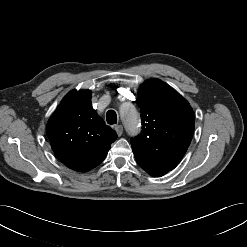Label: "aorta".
<instances>
[{
    "instance_id": "762f6f07",
    "label": "aorta",
    "mask_w": 247,
    "mask_h": 247,
    "mask_svg": "<svg viewBox=\"0 0 247 247\" xmlns=\"http://www.w3.org/2000/svg\"><path fill=\"white\" fill-rule=\"evenodd\" d=\"M120 115L127 133L133 136L137 135L141 125L136 108L131 104H123L120 109Z\"/></svg>"
}]
</instances>
